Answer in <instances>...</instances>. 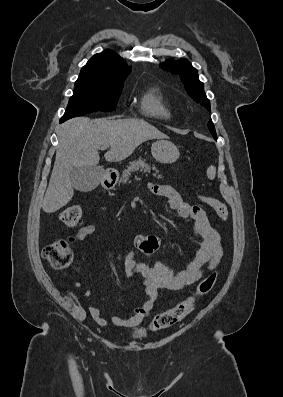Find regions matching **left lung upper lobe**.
Wrapping results in <instances>:
<instances>
[{
	"label": "left lung upper lobe",
	"instance_id": "left-lung-upper-lobe-1",
	"mask_svg": "<svg viewBox=\"0 0 283 397\" xmlns=\"http://www.w3.org/2000/svg\"><path fill=\"white\" fill-rule=\"evenodd\" d=\"M160 67L173 74H179L188 94L193 97L195 101L201 103V105L210 110V103L204 92V84L199 81L198 71L193 68L187 59L166 61L165 63H162ZM208 128L214 139L217 138L216 131L211 120L208 122Z\"/></svg>",
	"mask_w": 283,
	"mask_h": 397
}]
</instances>
